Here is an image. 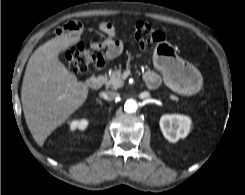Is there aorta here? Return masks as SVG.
Returning a JSON list of instances; mask_svg holds the SVG:
<instances>
[{
  "mask_svg": "<svg viewBox=\"0 0 245 195\" xmlns=\"http://www.w3.org/2000/svg\"><path fill=\"white\" fill-rule=\"evenodd\" d=\"M138 108L137 102L135 100H127L124 104V110L128 113L136 112Z\"/></svg>",
  "mask_w": 245,
  "mask_h": 195,
  "instance_id": "1",
  "label": "aorta"
}]
</instances>
